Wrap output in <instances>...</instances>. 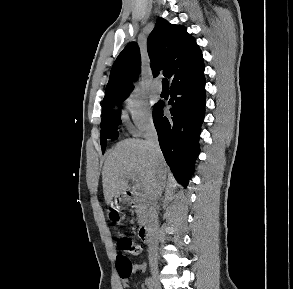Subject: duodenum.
I'll list each match as a JSON object with an SVG mask.
<instances>
[{"mask_svg":"<svg viewBox=\"0 0 293 289\" xmlns=\"http://www.w3.org/2000/svg\"><path fill=\"white\" fill-rule=\"evenodd\" d=\"M126 203L133 205L135 203V195L133 192H127L125 195ZM139 235L145 244H150L155 239V224L150 218H147L139 228Z\"/></svg>","mask_w":293,"mask_h":289,"instance_id":"duodenum-1","label":"duodenum"}]
</instances>
